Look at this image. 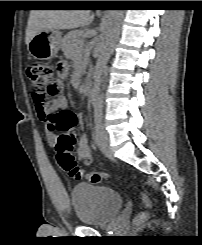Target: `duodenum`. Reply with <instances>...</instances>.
Here are the masks:
<instances>
[{
	"mask_svg": "<svg viewBox=\"0 0 202 245\" xmlns=\"http://www.w3.org/2000/svg\"><path fill=\"white\" fill-rule=\"evenodd\" d=\"M90 83H91V76L88 74L84 80H83V83H82V86H81V90L82 91H87L90 87Z\"/></svg>",
	"mask_w": 202,
	"mask_h": 245,
	"instance_id": "1",
	"label": "duodenum"
}]
</instances>
